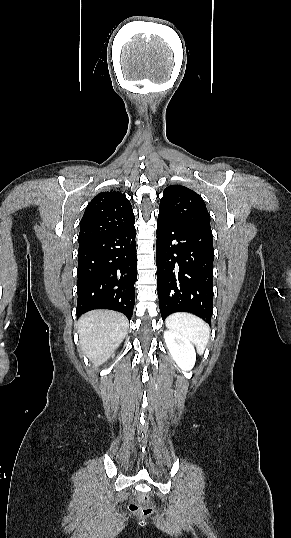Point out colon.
I'll return each instance as SVG.
<instances>
[{
  "instance_id": "5ec220e1",
  "label": "colon",
  "mask_w": 291,
  "mask_h": 538,
  "mask_svg": "<svg viewBox=\"0 0 291 538\" xmlns=\"http://www.w3.org/2000/svg\"><path fill=\"white\" fill-rule=\"evenodd\" d=\"M130 510L141 517H148L152 514L153 508L148 505L147 499L143 496H138L130 504Z\"/></svg>"
}]
</instances>
